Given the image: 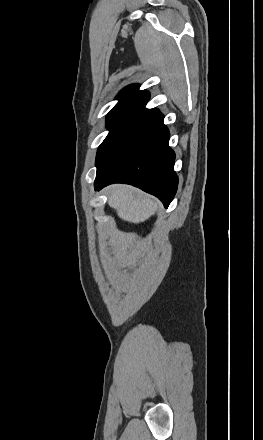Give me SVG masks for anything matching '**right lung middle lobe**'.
<instances>
[{
  "mask_svg": "<svg viewBox=\"0 0 263 440\" xmlns=\"http://www.w3.org/2000/svg\"><path fill=\"white\" fill-rule=\"evenodd\" d=\"M160 115L158 109L121 108L106 119L109 134L98 148L97 179L105 178Z\"/></svg>",
  "mask_w": 263,
  "mask_h": 440,
  "instance_id": "dd1d6c3e",
  "label": "right lung middle lobe"
}]
</instances>
